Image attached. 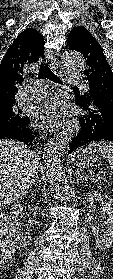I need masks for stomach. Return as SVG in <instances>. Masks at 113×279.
Instances as JSON below:
<instances>
[{
    "label": "stomach",
    "instance_id": "stomach-1",
    "mask_svg": "<svg viewBox=\"0 0 113 279\" xmlns=\"http://www.w3.org/2000/svg\"><path fill=\"white\" fill-rule=\"evenodd\" d=\"M98 160L97 150L88 147L79 148L73 157L74 164L78 167H90Z\"/></svg>",
    "mask_w": 113,
    "mask_h": 279
}]
</instances>
